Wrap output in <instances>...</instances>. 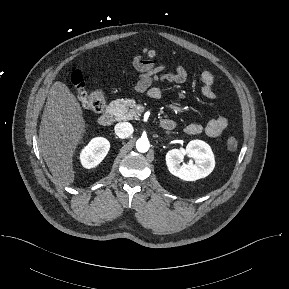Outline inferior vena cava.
<instances>
[{"label": "inferior vena cava", "mask_w": 289, "mask_h": 289, "mask_svg": "<svg viewBox=\"0 0 289 289\" xmlns=\"http://www.w3.org/2000/svg\"><path fill=\"white\" fill-rule=\"evenodd\" d=\"M114 130L115 134L122 139L129 137L133 133V127L128 122L117 123Z\"/></svg>", "instance_id": "inferior-vena-cava-1"}]
</instances>
